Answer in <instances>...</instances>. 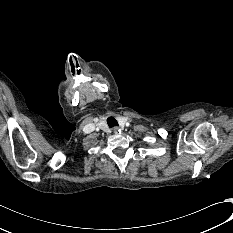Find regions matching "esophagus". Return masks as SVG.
<instances>
[{"label":"esophagus","instance_id":"esophagus-1","mask_svg":"<svg viewBox=\"0 0 233 233\" xmlns=\"http://www.w3.org/2000/svg\"><path fill=\"white\" fill-rule=\"evenodd\" d=\"M113 131H114L115 133H117V132H118V128L115 127V128L113 129Z\"/></svg>","mask_w":233,"mask_h":233}]
</instances>
